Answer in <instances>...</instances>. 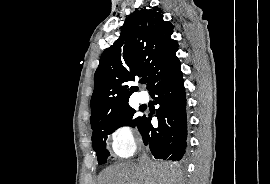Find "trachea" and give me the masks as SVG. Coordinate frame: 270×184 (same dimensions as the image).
Segmentation results:
<instances>
[{
    "instance_id": "trachea-1",
    "label": "trachea",
    "mask_w": 270,
    "mask_h": 184,
    "mask_svg": "<svg viewBox=\"0 0 270 184\" xmlns=\"http://www.w3.org/2000/svg\"><path fill=\"white\" fill-rule=\"evenodd\" d=\"M146 82H147L146 80L143 81V83H146Z\"/></svg>"
}]
</instances>
